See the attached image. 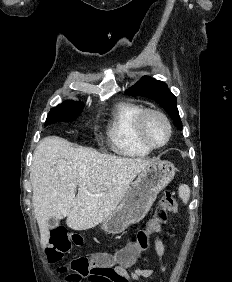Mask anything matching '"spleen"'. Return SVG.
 I'll use <instances>...</instances> for the list:
<instances>
[{
  "mask_svg": "<svg viewBox=\"0 0 232 282\" xmlns=\"http://www.w3.org/2000/svg\"><path fill=\"white\" fill-rule=\"evenodd\" d=\"M179 197L182 199L183 203L187 204L190 198V188L187 185H181L179 187Z\"/></svg>",
  "mask_w": 232,
  "mask_h": 282,
  "instance_id": "obj_1",
  "label": "spleen"
}]
</instances>
